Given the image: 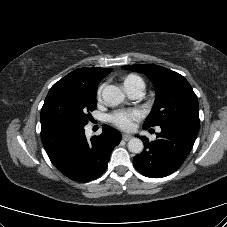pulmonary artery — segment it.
Here are the masks:
<instances>
[{"label": "pulmonary artery", "instance_id": "obj_1", "mask_svg": "<svg viewBox=\"0 0 227 227\" xmlns=\"http://www.w3.org/2000/svg\"><path fill=\"white\" fill-rule=\"evenodd\" d=\"M144 89L145 85L143 82H137L135 84L125 86L127 94L134 99L142 97Z\"/></svg>", "mask_w": 227, "mask_h": 227}]
</instances>
